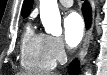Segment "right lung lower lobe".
Wrapping results in <instances>:
<instances>
[{"instance_id": "obj_1", "label": "right lung lower lobe", "mask_w": 107, "mask_h": 75, "mask_svg": "<svg viewBox=\"0 0 107 75\" xmlns=\"http://www.w3.org/2000/svg\"><path fill=\"white\" fill-rule=\"evenodd\" d=\"M82 12L85 18L86 25L89 26L91 23V9L87 2L82 7ZM69 73L76 75L78 73V62L73 61L69 66Z\"/></svg>"}]
</instances>
